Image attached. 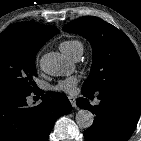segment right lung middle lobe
<instances>
[{"label": "right lung middle lobe", "mask_w": 141, "mask_h": 141, "mask_svg": "<svg viewBox=\"0 0 141 141\" xmlns=\"http://www.w3.org/2000/svg\"><path fill=\"white\" fill-rule=\"evenodd\" d=\"M43 45L29 37L0 36V91L31 93L37 85L36 53Z\"/></svg>", "instance_id": "dd1d6c3e"}]
</instances>
